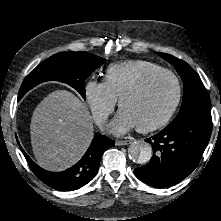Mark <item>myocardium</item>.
<instances>
[{"label": "myocardium", "instance_id": "myocardium-1", "mask_svg": "<svg viewBox=\"0 0 221 221\" xmlns=\"http://www.w3.org/2000/svg\"><path fill=\"white\" fill-rule=\"evenodd\" d=\"M160 76H168L175 83L176 94H175L173 104L162 119L148 126L137 127L136 129L138 132L148 133V132L159 130L163 128L164 126H166L170 122V120L173 118L174 114L176 113L180 105L181 98H182V85H181V81L179 77L174 72L167 70V69H162V70L148 73L147 75L142 77L138 82H136L134 85L126 89L118 98V107L119 109H121L122 102L126 98L140 93L152 80Z\"/></svg>", "mask_w": 221, "mask_h": 221}]
</instances>
